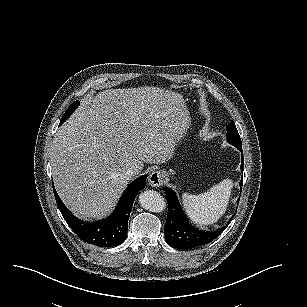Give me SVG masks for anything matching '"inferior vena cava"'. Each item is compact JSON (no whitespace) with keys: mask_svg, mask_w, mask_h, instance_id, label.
<instances>
[{"mask_svg":"<svg viewBox=\"0 0 307 307\" xmlns=\"http://www.w3.org/2000/svg\"><path fill=\"white\" fill-rule=\"evenodd\" d=\"M138 174H139V171H138L137 168H130V169H128V170L126 171V176H127L128 178H131V177H133V176H135V175H138Z\"/></svg>","mask_w":307,"mask_h":307,"instance_id":"obj_1","label":"inferior vena cava"}]
</instances>
